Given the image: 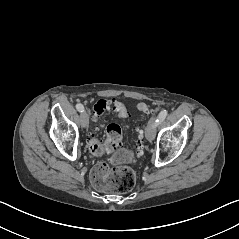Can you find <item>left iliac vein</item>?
Masks as SVG:
<instances>
[{
  "label": "left iliac vein",
  "mask_w": 239,
  "mask_h": 239,
  "mask_svg": "<svg viewBox=\"0 0 239 239\" xmlns=\"http://www.w3.org/2000/svg\"><path fill=\"white\" fill-rule=\"evenodd\" d=\"M156 119L157 117H152L150 120H149V123H148V126H147V129H146V138L151 141L155 138L156 136Z\"/></svg>",
  "instance_id": "obj_1"
}]
</instances>
